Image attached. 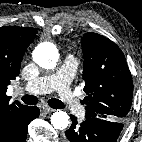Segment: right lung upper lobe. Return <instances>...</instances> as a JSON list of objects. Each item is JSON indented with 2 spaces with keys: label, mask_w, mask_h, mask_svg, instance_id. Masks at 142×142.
Segmentation results:
<instances>
[{
  "label": "right lung upper lobe",
  "mask_w": 142,
  "mask_h": 142,
  "mask_svg": "<svg viewBox=\"0 0 142 142\" xmlns=\"http://www.w3.org/2000/svg\"><path fill=\"white\" fill-rule=\"evenodd\" d=\"M36 34L35 28L0 27V137L12 120L27 108L18 101L10 103L6 91L10 80L19 75L25 50Z\"/></svg>",
  "instance_id": "right-lung-upper-lobe-1"
}]
</instances>
